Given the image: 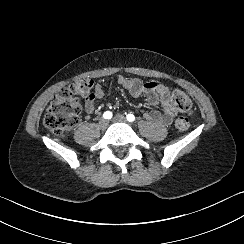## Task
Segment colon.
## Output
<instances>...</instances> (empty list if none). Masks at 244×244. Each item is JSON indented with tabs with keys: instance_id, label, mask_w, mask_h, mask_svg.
Listing matches in <instances>:
<instances>
[{
	"instance_id": "5ec220e1",
	"label": "colon",
	"mask_w": 244,
	"mask_h": 244,
	"mask_svg": "<svg viewBox=\"0 0 244 244\" xmlns=\"http://www.w3.org/2000/svg\"><path fill=\"white\" fill-rule=\"evenodd\" d=\"M92 87L93 81L83 78L61 90L48 107L44 119L46 126L58 134L75 128L81 113L79 99L89 97ZM171 102L184 113L176 118L175 129L180 132L186 131L190 126L189 115L193 112L191 99L183 91L174 90Z\"/></svg>"
}]
</instances>
